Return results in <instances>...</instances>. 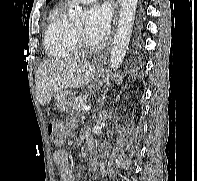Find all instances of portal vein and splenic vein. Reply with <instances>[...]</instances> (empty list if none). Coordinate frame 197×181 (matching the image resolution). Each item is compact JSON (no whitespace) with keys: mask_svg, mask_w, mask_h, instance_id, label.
<instances>
[{"mask_svg":"<svg viewBox=\"0 0 197 181\" xmlns=\"http://www.w3.org/2000/svg\"><path fill=\"white\" fill-rule=\"evenodd\" d=\"M90 108L91 107L89 105H84L83 108H82V111L83 112H88L90 110Z\"/></svg>","mask_w":197,"mask_h":181,"instance_id":"1","label":"portal vein and splenic vein"}]
</instances>
